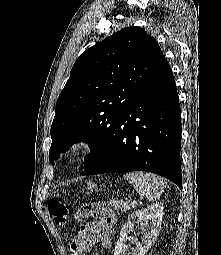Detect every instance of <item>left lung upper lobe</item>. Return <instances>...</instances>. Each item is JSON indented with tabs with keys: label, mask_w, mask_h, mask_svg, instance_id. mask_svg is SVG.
I'll use <instances>...</instances> for the list:
<instances>
[{
	"label": "left lung upper lobe",
	"mask_w": 221,
	"mask_h": 255,
	"mask_svg": "<svg viewBox=\"0 0 221 255\" xmlns=\"http://www.w3.org/2000/svg\"><path fill=\"white\" fill-rule=\"evenodd\" d=\"M165 62L159 44L140 27H127L84 51L60 93L51 126L53 161L74 143L91 148L84 169L99 157L117 120Z\"/></svg>",
	"instance_id": "left-lung-upper-lobe-1"
}]
</instances>
